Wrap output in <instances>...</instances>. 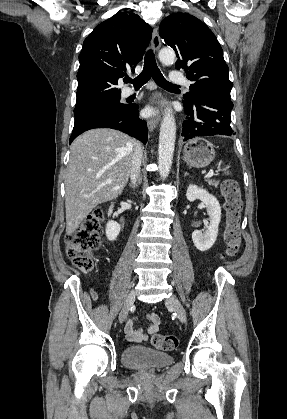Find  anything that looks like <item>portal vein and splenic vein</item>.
Returning a JSON list of instances; mask_svg holds the SVG:
<instances>
[{
	"label": "portal vein and splenic vein",
	"mask_w": 287,
	"mask_h": 419,
	"mask_svg": "<svg viewBox=\"0 0 287 419\" xmlns=\"http://www.w3.org/2000/svg\"><path fill=\"white\" fill-rule=\"evenodd\" d=\"M214 175V172H213V170H210L206 175H205V178H210V177H212ZM108 182H110L109 180H108Z\"/></svg>",
	"instance_id": "18ae733b"
}]
</instances>
